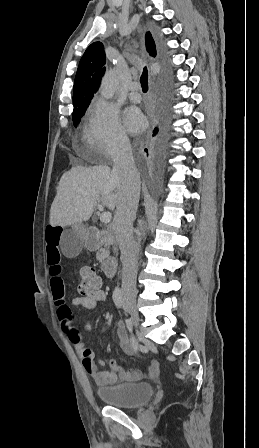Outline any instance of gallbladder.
<instances>
[{"instance_id": "gallbladder-1", "label": "gallbladder", "mask_w": 259, "mask_h": 448, "mask_svg": "<svg viewBox=\"0 0 259 448\" xmlns=\"http://www.w3.org/2000/svg\"><path fill=\"white\" fill-rule=\"evenodd\" d=\"M85 246L84 238H79L70 230H64L60 240V248L66 258H76Z\"/></svg>"}]
</instances>
